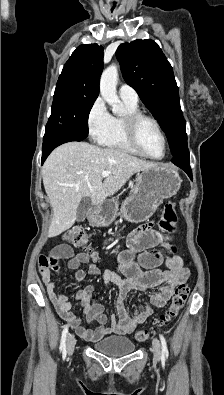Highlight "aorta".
Listing matches in <instances>:
<instances>
[{
    "instance_id": "762f6f07",
    "label": "aorta",
    "mask_w": 224,
    "mask_h": 395,
    "mask_svg": "<svg viewBox=\"0 0 224 395\" xmlns=\"http://www.w3.org/2000/svg\"><path fill=\"white\" fill-rule=\"evenodd\" d=\"M118 69L112 64L107 67L100 79V94L102 98L111 106L112 112L118 114L122 111V103L117 95Z\"/></svg>"
}]
</instances>
